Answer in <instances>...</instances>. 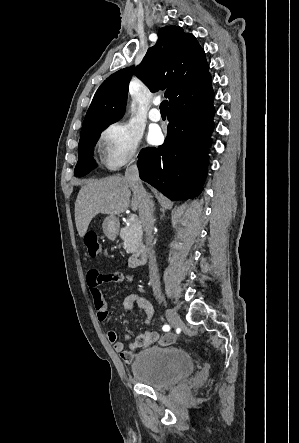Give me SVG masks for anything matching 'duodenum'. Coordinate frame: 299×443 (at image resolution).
Segmentation results:
<instances>
[{"label":"duodenum","mask_w":299,"mask_h":443,"mask_svg":"<svg viewBox=\"0 0 299 443\" xmlns=\"http://www.w3.org/2000/svg\"><path fill=\"white\" fill-rule=\"evenodd\" d=\"M147 250L145 246L138 247L135 252L130 255L127 261L128 267L135 268L146 262Z\"/></svg>","instance_id":"obj_1"}]
</instances>
